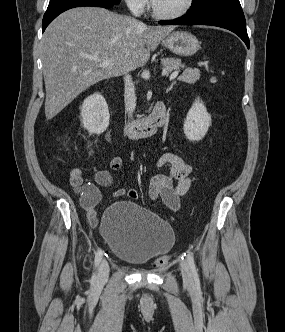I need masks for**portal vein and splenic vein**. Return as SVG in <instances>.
<instances>
[{"instance_id":"portal-vein-and-splenic-vein-1","label":"portal vein and splenic vein","mask_w":285,"mask_h":332,"mask_svg":"<svg viewBox=\"0 0 285 332\" xmlns=\"http://www.w3.org/2000/svg\"><path fill=\"white\" fill-rule=\"evenodd\" d=\"M89 59L91 60H94V61H97V62H100L99 66L100 67H106L110 64V61H107V60H101L99 59L98 57H89ZM165 74V73H164ZM179 74V71H174L171 75H170V79H174L178 76Z\"/></svg>"}]
</instances>
